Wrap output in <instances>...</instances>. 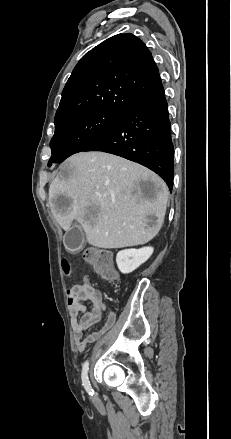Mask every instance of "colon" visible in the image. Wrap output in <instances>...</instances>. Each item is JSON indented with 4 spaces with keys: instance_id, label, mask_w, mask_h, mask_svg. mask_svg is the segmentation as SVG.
Returning a JSON list of instances; mask_svg holds the SVG:
<instances>
[{
    "instance_id": "5ec220e1",
    "label": "colon",
    "mask_w": 231,
    "mask_h": 439,
    "mask_svg": "<svg viewBox=\"0 0 231 439\" xmlns=\"http://www.w3.org/2000/svg\"><path fill=\"white\" fill-rule=\"evenodd\" d=\"M84 259L103 279L108 281L116 279L117 274L107 251L94 247L87 248L84 251ZM63 267L65 273L70 274V265L67 261H64Z\"/></svg>"
}]
</instances>
